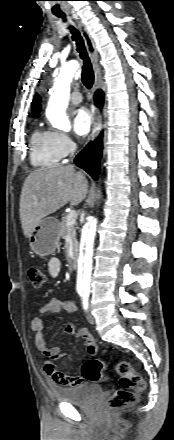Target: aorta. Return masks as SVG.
Returning <instances> with one entry per match:
<instances>
[{"label":"aorta","instance_id":"aorta-1","mask_svg":"<svg viewBox=\"0 0 174 440\" xmlns=\"http://www.w3.org/2000/svg\"><path fill=\"white\" fill-rule=\"evenodd\" d=\"M79 64L71 61L62 66L59 75L55 78L54 91L48 102L46 115L53 127L63 131H69L71 126L65 111L69 102L70 84ZM97 219L92 217L84 225L81 237V248L78 259V281L79 290L90 289V278L92 271L93 245L96 235Z\"/></svg>","mask_w":174,"mask_h":440}]
</instances>
